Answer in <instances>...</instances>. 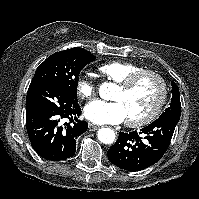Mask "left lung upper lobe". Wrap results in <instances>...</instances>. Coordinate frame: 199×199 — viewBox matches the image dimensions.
Masks as SVG:
<instances>
[{"label":"left lung upper lobe","mask_w":199,"mask_h":199,"mask_svg":"<svg viewBox=\"0 0 199 199\" xmlns=\"http://www.w3.org/2000/svg\"><path fill=\"white\" fill-rule=\"evenodd\" d=\"M181 115V102L178 86L172 82V100L170 107L165 109L159 118H174L179 120Z\"/></svg>","instance_id":"left-lung-upper-lobe-1"}]
</instances>
